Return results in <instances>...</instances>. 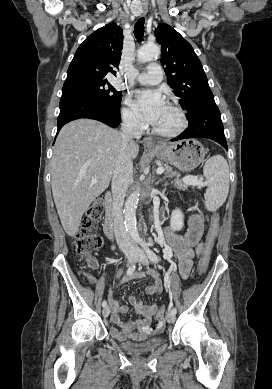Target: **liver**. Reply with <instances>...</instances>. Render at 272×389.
I'll use <instances>...</instances> for the list:
<instances>
[{
  "mask_svg": "<svg viewBox=\"0 0 272 389\" xmlns=\"http://www.w3.org/2000/svg\"><path fill=\"white\" fill-rule=\"evenodd\" d=\"M121 142V132L91 119L72 121L60 130L51 160V184L61 224L69 236L77 234L84 212L108 188ZM138 153L139 145L130 141L128 157L135 159Z\"/></svg>",
  "mask_w": 272,
  "mask_h": 389,
  "instance_id": "1",
  "label": "liver"
}]
</instances>
